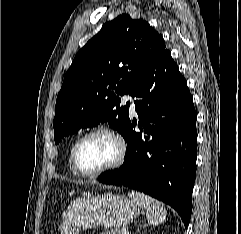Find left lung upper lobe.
<instances>
[{
  "label": "left lung upper lobe",
  "instance_id": "1",
  "mask_svg": "<svg viewBox=\"0 0 241 234\" xmlns=\"http://www.w3.org/2000/svg\"><path fill=\"white\" fill-rule=\"evenodd\" d=\"M165 48L163 37L143 19L122 14L106 22L77 53L65 75L56 100L55 143L103 122L125 138L130 103L121 107L118 96H133Z\"/></svg>",
  "mask_w": 241,
  "mask_h": 234
}]
</instances>
